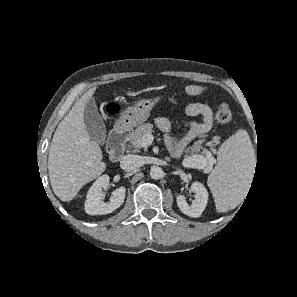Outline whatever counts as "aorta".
Returning <instances> with one entry per match:
<instances>
[{"label": "aorta", "instance_id": "1", "mask_svg": "<svg viewBox=\"0 0 297 297\" xmlns=\"http://www.w3.org/2000/svg\"><path fill=\"white\" fill-rule=\"evenodd\" d=\"M150 176L153 179H160L163 176V170L158 166H153L150 169Z\"/></svg>", "mask_w": 297, "mask_h": 297}]
</instances>
